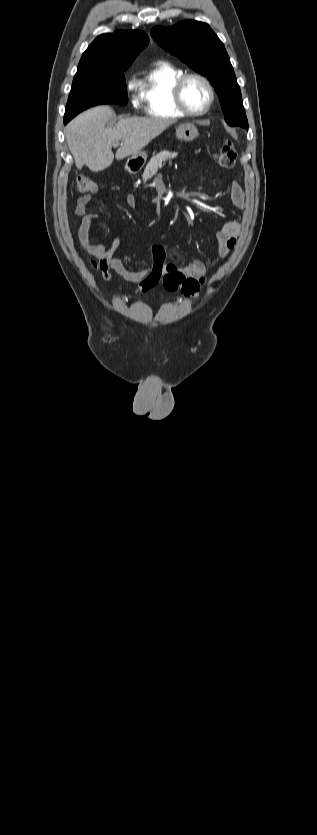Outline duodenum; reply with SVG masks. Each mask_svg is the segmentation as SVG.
I'll return each instance as SVG.
<instances>
[{"mask_svg":"<svg viewBox=\"0 0 317 835\" xmlns=\"http://www.w3.org/2000/svg\"><path fill=\"white\" fill-rule=\"evenodd\" d=\"M138 168H139V164H138L137 162H131V163H130V169H131L132 171H135V170H137Z\"/></svg>","mask_w":317,"mask_h":835,"instance_id":"duodenum-1","label":"duodenum"}]
</instances>
